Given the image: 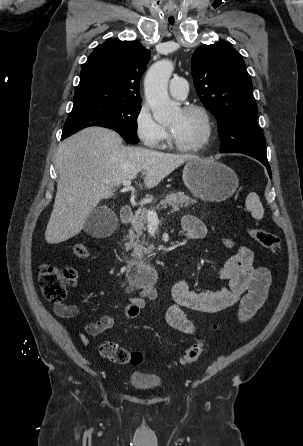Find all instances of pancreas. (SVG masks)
I'll list each match as a JSON object with an SVG mask.
<instances>
[{"label":"pancreas","mask_w":303,"mask_h":446,"mask_svg":"<svg viewBox=\"0 0 303 446\" xmlns=\"http://www.w3.org/2000/svg\"><path fill=\"white\" fill-rule=\"evenodd\" d=\"M193 203H195V200L190 198V196L185 195L183 192H176L167 194L156 207H151V210L165 209L171 206L172 212H175ZM147 223V212H139L134 218L132 229L129 230V235L127 236L128 242L125 243L126 250H132V257L140 260L145 258V256H149L154 250L152 244H149L144 239H140L143 231L147 229Z\"/></svg>","instance_id":"obj_1"}]
</instances>
